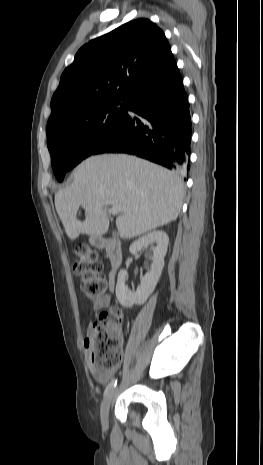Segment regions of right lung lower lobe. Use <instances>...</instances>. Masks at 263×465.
<instances>
[{
  "mask_svg": "<svg viewBox=\"0 0 263 465\" xmlns=\"http://www.w3.org/2000/svg\"><path fill=\"white\" fill-rule=\"evenodd\" d=\"M127 114L94 154L129 153L186 175L189 169L191 117L180 72L143 86L128 99Z\"/></svg>",
  "mask_w": 263,
  "mask_h": 465,
  "instance_id": "right-lung-lower-lobe-1",
  "label": "right lung lower lobe"
}]
</instances>
